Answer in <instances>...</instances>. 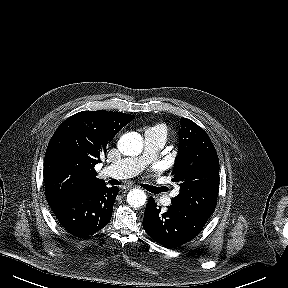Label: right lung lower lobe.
<instances>
[{
	"instance_id": "obj_1",
	"label": "right lung lower lobe",
	"mask_w": 288,
	"mask_h": 288,
	"mask_svg": "<svg viewBox=\"0 0 288 288\" xmlns=\"http://www.w3.org/2000/svg\"><path fill=\"white\" fill-rule=\"evenodd\" d=\"M118 192V187L108 188L103 183L48 203L70 234L85 237L109 223Z\"/></svg>"
}]
</instances>
